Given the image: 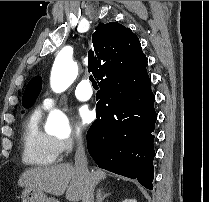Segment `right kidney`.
Returning <instances> with one entry per match:
<instances>
[{
  "label": "right kidney",
  "instance_id": "right-kidney-1",
  "mask_svg": "<svg viewBox=\"0 0 209 202\" xmlns=\"http://www.w3.org/2000/svg\"><path fill=\"white\" fill-rule=\"evenodd\" d=\"M123 202H137L135 199H125Z\"/></svg>",
  "mask_w": 209,
  "mask_h": 202
}]
</instances>
